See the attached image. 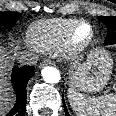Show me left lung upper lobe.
Instances as JSON below:
<instances>
[{"label": "left lung upper lobe", "mask_w": 116, "mask_h": 116, "mask_svg": "<svg viewBox=\"0 0 116 116\" xmlns=\"http://www.w3.org/2000/svg\"><path fill=\"white\" fill-rule=\"evenodd\" d=\"M108 29L107 37L105 39V45L116 44V17L109 16V17H98Z\"/></svg>", "instance_id": "obj_1"}]
</instances>
